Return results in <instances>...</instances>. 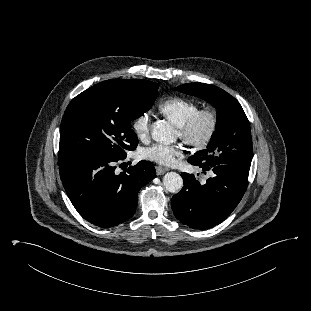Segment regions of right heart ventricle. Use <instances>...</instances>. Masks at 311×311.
Segmentation results:
<instances>
[{
	"label": "right heart ventricle",
	"mask_w": 311,
	"mask_h": 311,
	"mask_svg": "<svg viewBox=\"0 0 311 311\" xmlns=\"http://www.w3.org/2000/svg\"><path fill=\"white\" fill-rule=\"evenodd\" d=\"M159 112L175 126L182 125L192 114L199 110V105L183 97H171L159 105Z\"/></svg>",
	"instance_id": "right-heart-ventricle-1"
}]
</instances>
